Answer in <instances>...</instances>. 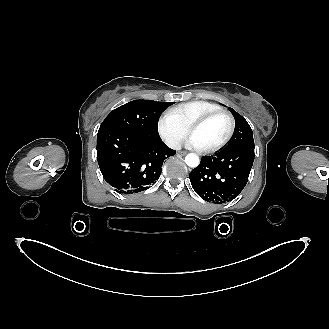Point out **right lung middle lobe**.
<instances>
[{"label":"right lung middle lobe","instance_id":"dd1d6c3e","mask_svg":"<svg viewBox=\"0 0 329 329\" xmlns=\"http://www.w3.org/2000/svg\"><path fill=\"white\" fill-rule=\"evenodd\" d=\"M175 102L133 100L109 113L99 131L121 130L159 137L158 119L161 113Z\"/></svg>","mask_w":329,"mask_h":329}]
</instances>
